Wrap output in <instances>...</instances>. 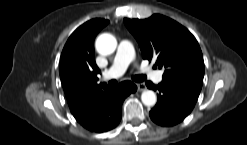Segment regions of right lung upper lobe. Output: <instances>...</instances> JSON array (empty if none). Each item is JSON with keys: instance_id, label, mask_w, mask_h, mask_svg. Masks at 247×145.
I'll list each match as a JSON object with an SVG mask.
<instances>
[{"instance_id": "right-lung-upper-lobe-1", "label": "right lung upper lobe", "mask_w": 247, "mask_h": 145, "mask_svg": "<svg viewBox=\"0 0 247 145\" xmlns=\"http://www.w3.org/2000/svg\"><path fill=\"white\" fill-rule=\"evenodd\" d=\"M108 23L105 19H92L84 23L71 34L63 48L60 78L71 112L108 89L106 84H97L100 70L93 48L96 35Z\"/></svg>"}]
</instances>
